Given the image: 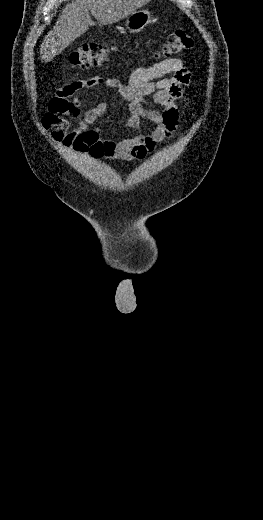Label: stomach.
Wrapping results in <instances>:
<instances>
[{
  "label": "stomach",
  "instance_id": "0dacf381",
  "mask_svg": "<svg viewBox=\"0 0 263 520\" xmlns=\"http://www.w3.org/2000/svg\"><path fill=\"white\" fill-rule=\"evenodd\" d=\"M151 22V14L147 9L136 10L126 18V29L130 33L142 31Z\"/></svg>",
  "mask_w": 263,
  "mask_h": 520
}]
</instances>
